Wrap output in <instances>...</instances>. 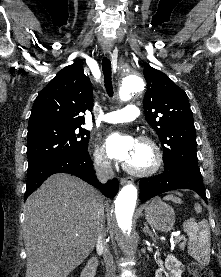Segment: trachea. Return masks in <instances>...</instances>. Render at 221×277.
<instances>
[{"instance_id":"obj_1","label":"trachea","mask_w":221,"mask_h":277,"mask_svg":"<svg viewBox=\"0 0 221 277\" xmlns=\"http://www.w3.org/2000/svg\"><path fill=\"white\" fill-rule=\"evenodd\" d=\"M102 71L104 74L105 87L107 94L112 97L113 96V87L111 82V61L109 58L104 57L102 59Z\"/></svg>"}]
</instances>
